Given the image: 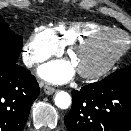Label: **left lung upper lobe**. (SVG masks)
Masks as SVG:
<instances>
[{
	"mask_svg": "<svg viewBox=\"0 0 131 131\" xmlns=\"http://www.w3.org/2000/svg\"><path fill=\"white\" fill-rule=\"evenodd\" d=\"M106 80H130L131 81V65L113 72L105 78Z\"/></svg>",
	"mask_w": 131,
	"mask_h": 131,
	"instance_id": "5c2ea615",
	"label": "left lung upper lobe"
}]
</instances>
